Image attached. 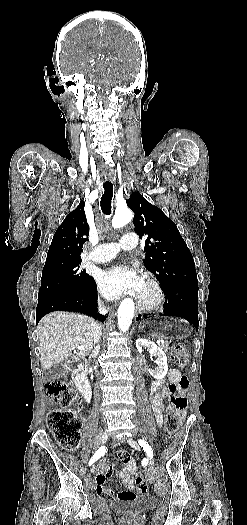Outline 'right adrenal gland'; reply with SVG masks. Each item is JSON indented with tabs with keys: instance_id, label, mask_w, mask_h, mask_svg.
I'll use <instances>...</instances> for the list:
<instances>
[{
	"instance_id": "2a0ac1e0",
	"label": "right adrenal gland",
	"mask_w": 247,
	"mask_h": 525,
	"mask_svg": "<svg viewBox=\"0 0 247 525\" xmlns=\"http://www.w3.org/2000/svg\"><path fill=\"white\" fill-rule=\"evenodd\" d=\"M99 351H100V345H97L95 351H92L90 357H95V355H98Z\"/></svg>"
}]
</instances>
